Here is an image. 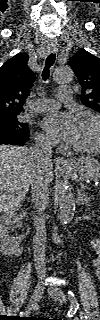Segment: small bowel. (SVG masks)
Returning <instances> with one entry per match:
<instances>
[{
  "label": "small bowel",
  "instance_id": "1",
  "mask_svg": "<svg viewBox=\"0 0 100 320\" xmlns=\"http://www.w3.org/2000/svg\"><path fill=\"white\" fill-rule=\"evenodd\" d=\"M94 266H95L96 268H98V266H99V260H95Z\"/></svg>",
  "mask_w": 100,
  "mask_h": 320
}]
</instances>
